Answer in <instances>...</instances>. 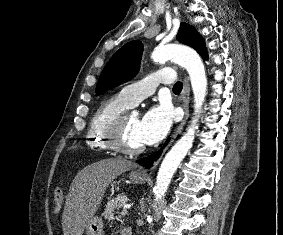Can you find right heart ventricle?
I'll return each instance as SVG.
<instances>
[{
    "label": "right heart ventricle",
    "instance_id": "right-heart-ventricle-1",
    "mask_svg": "<svg viewBox=\"0 0 283 235\" xmlns=\"http://www.w3.org/2000/svg\"><path fill=\"white\" fill-rule=\"evenodd\" d=\"M131 105L117 94L103 101L94 111L86 133V145L97 151H110L106 130L109 124Z\"/></svg>",
    "mask_w": 283,
    "mask_h": 235
}]
</instances>
